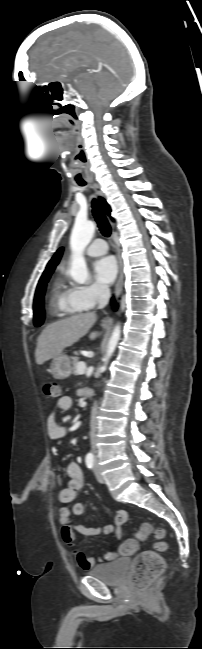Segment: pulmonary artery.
Wrapping results in <instances>:
<instances>
[{
  "instance_id": "1",
  "label": "pulmonary artery",
  "mask_w": 202,
  "mask_h": 649,
  "mask_svg": "<svg viewBox=\"0 0 202 649\" xmlns=\"http://www.w3.org/2000/svg\"><path fill=\"white\" fill-rule=\"evenodd\" d=\"M108 251V246L103 239H95L87 248L86 253L90 256L103 255Z\"/></svg>"
}]
</instances>
